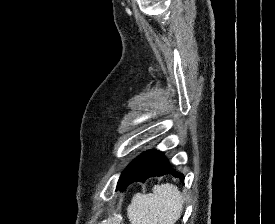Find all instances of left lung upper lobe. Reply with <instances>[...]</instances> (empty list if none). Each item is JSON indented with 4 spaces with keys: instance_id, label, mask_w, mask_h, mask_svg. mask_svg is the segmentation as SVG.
I'll return each mask as SVG.
<instances>
[{
    "instance_id": "1",
    "label": "left lung upper lobe",
    "mask_w": 275,
    "mask_h": 224,
    "mask_svg": "<svg viewBox=\"0 0 275 224\" xmlns=\"http://www.w3.org/2000/svg\"><path fill=\"white\" fill-rule=\"evenodd\" d=\"M131 163H132V162H131ZM131 163H130V165H131ZM130 165L123 171L121 177L127 172V170L129 169Z\"/></svg>"
}]
</instances>
